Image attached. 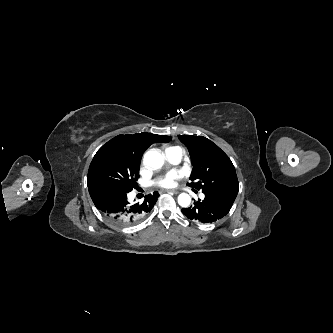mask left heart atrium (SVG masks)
<instances>
[{"instance_id": "left-heart-atrium-1", "label": "left heart atrium", "mask_w": 333, "mask_h": 333, "mask_svg": "<svg viewBox=\"0 0 333 333\" xmlns=\"http://www.w3.org/2000/svg\"><path fill=\"white\" fill-rule=\"evenodd\" d=\"M178 177L179 176L176 173H169V174L157 179L155 182V185L158 187H161V188H171L175 185Z\"/></svg>"}]
</instances>
